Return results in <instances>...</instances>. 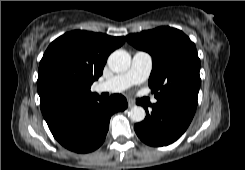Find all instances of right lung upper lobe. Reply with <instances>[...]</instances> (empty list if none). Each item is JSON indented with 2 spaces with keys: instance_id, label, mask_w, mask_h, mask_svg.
Wrapping results in <instances>:
<instances>
[{
  "instance_id": "1",
  "label": "right lung upper lobe",
  "mask_w": 245,
  "mask_h": 170,
  "mask_svg": "<svg viewBox=\"0 0 245 170\" xmlns=\"http://www.w3.org/2000/svg\"><path fill=\"white\" fill-rule=\"evenodd\" d=\"M125 42L124 37L82 30L54 40L39 65L37 88L47 123L65 109L96 95L92 83L101 76L109 54Z\"/></svg>"
}]
</instances>
